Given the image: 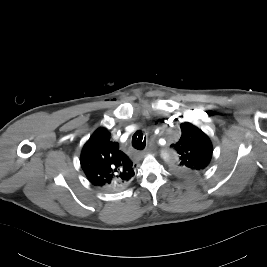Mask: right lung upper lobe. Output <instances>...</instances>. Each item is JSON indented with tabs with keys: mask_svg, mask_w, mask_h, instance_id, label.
Segmentation results:
<instances>
[{
	"mask_svg": "<svg viewBox=\"0 0 267 267\" xmlns=\"http://www.w3.org/2000/svg\"><path fill=\"white\" fill-rule=\"evenodd\" d=\"M80 163L90 183L103 189H123L134 175L132 161L105 128L97 129L86 142Z\"/></svg>",
	"mask_w": 267,
	"mask_h": 267,
	"instance_id": "right-lung-upper-lobe-1",
	"label": "right lung upper lobe"
}]
</instances>
